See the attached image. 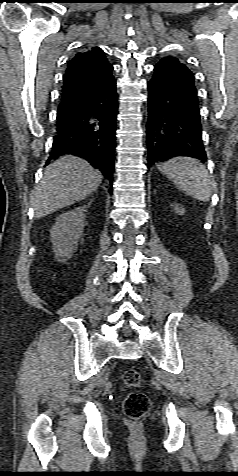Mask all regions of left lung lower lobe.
Listing matches in <instances>:
<instances>
[{
  "label": "left lung lower lobe",
  "instance_id": "obj_1",
  "mask_svg": "<svg viewBox=\"0 0 238 476\" xmlns=\"http://www.w3.org/2000/svg\"><path fill=\"white\" fill-rule=\"evenodd\" d=\"M148 91L147 166L176 156L206 160L197 94L157 66Z\"/></svg>",
  "mask_w": 238,
  "mask_h": 476
}]
</instances>
